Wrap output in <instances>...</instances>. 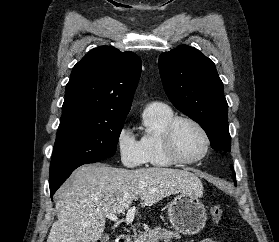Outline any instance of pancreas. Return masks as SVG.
Returning a JSON list of instances; mask_svg holds the SVG:
<instances>
[{"instance_id":"obj_1","label":"pancreas","mask_w":279,"mask_h":242,"mask_svg":"<svg viewBox=\"0 0 279 242\" xmlns=\"http://www.w3.org/2000/svg\"><path fill=\"white\" fill-rule=\"evenodd\" d=\"M181 236L177 232L168 231L161 227L149 229L135 237L134 242H170L172 239H180Z\"/></svg>"}]
</instances>
